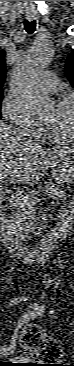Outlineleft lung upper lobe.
I'll use <instances>...</instances> for the list:
<instances>
[{
    "label": "left lung upper lobe",
    "mask_w": 74,
    "mask_h": 366,
    "mask_svg": "<svg viewBox=\"0 0 74 366\" xmlns=\"http://www.w3.org/2000/svg\"><path fill=\"white\" fill-rule=\"evenodd\" d=\"M67 78L74 87V52L70 53L66 60Z\"/></svg>",
    "instance_id": "obj_1"
}]
</instances>
